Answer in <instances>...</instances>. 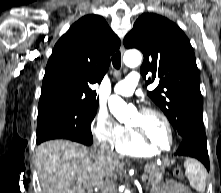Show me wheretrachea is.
I'll return each mask as SVG.
<instances>
[{"instance_id":"obj_1","label":"trachea","mask_w":221,"mask_h":193,"mask_svg":"<svg viewBox=\"0 0 221 193\" xmlns=\"http://www.w3.org/2000/svg\"><path fill=\"white\" fill-rule=\"evenodd\" d=\"M112 64L116 69H120L121 66V54L117 52L112 56Z\"/></svg>"}]
</instances>
